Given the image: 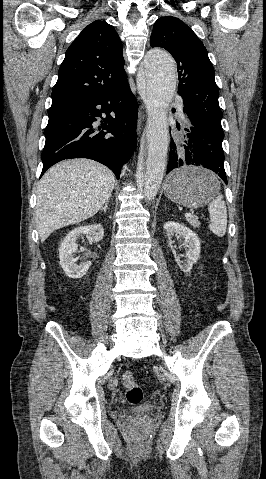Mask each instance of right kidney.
I'll list each match as a JSON object with an SVG mask.
<instances>
[{"label": "right kidney", "mask_w": 266, "mask_h": 479, "mask_svg": "<svg viewBox=\"0 0 266 479\" xmlns=\"http://www.w3.org/2000/svg\"><path fill=\"white\" fill-rule=\"evenodd\" d=\"M82 235L91 242H99L104 236V230L100 224L80 226L70 231L64 238L59 248L60 266L67 276L74 279L83 277L91 266L90 261L78 265L77 259L73 257L78 248L76 240Z\"/></svg>", "instance_id": "obj_1"}]
</instances>
